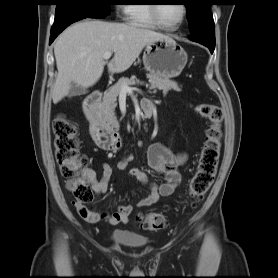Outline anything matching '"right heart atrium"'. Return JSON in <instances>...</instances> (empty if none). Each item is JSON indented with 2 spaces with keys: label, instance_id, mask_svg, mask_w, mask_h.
Masks as SVG:
<instances>
[{
  "label": "right heart atrium",
  "instance_id": "d8ad5b80",
  "mask_svg": "<svg viewBox=\"0 0 278 278\" xmlns=\"http://www.w3.org/2000/svg\"><path fill=\"white\" fill-rule=\"evenodd\" d=\"M117 11H118V14L123 18L128 16V11L129 10H128V6H126V5L118 6Z\"/></svg>",
  "mask_w": 278,
  "mask_h": 278
}]
</instances>
